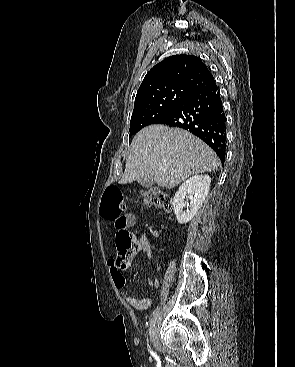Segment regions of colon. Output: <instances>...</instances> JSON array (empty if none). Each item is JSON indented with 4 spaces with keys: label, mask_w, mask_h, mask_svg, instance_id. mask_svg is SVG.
<instances>
[{
    "label": "colon",
    "mask_w": 295,
    "mask_h": 367,
    "mask_svg": "<svg viewBox=\"0 0 295 367\" xmlns=\"http://www.w3.org/2000/svg\"><path fill=\"white\" fill-rule=\"evenodd\" d=\"M144 203L148 206H155L169 211L172 208V199L168 194L158 188L148 189L143 194ZM126 207V200L121 189L117 186H110L106 189L103 197L102 216L103 218L119 222ZM117 247L121 267H124L127 259L137 249V244L133 241L130 233L123 230L118 234Z\"/></svg>",
    "instance_id": "5ec220e1"
}]
</instances>
